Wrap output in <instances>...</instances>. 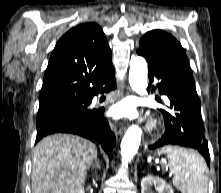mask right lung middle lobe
<instances>
[{"instance_id":"obj_1","label":"right lung middle lobe","mask_w":221,"mask_h":193,"mask_svg":"<svg viewBox=\"0 0 221 193\" xmlns=\"http://www.w3.org/2000/svg\"><path fill=\"white\" fill-rule=\"evenodd\" d=\"M88 98H62L40 102L37 131L49 130L89 116Z\"/></svg>"}]
</instances>
